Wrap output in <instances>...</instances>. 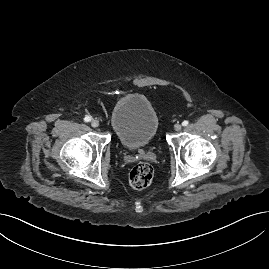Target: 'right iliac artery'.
I'll use <instances>...</instances> for the list:
<instances>
[{
    "label": "right iliac artery",
    "mask_w": 269,
    "mask_h": 269,
    "mask_svg": "<svg viewBox=\"0 0 269 269\" xmlns=\"http://www.w3.org/2000/svg\"><path fill=\"white\" fill-rule=\"evenodd\" d=\"M92 120V117L91 116H86L85 118H84V121L85 122H89V121H91Z\"/></svg>",
    "instance_id": "obj_1"
}]
</instances>
